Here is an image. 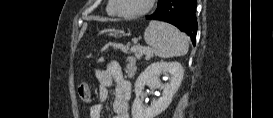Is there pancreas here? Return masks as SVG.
Returning <instances> with one entry per match:
<instances>
[{"label":"pancreas","instance_id":"1","mask_svg":"<svg viewBox=\"0 0 273 118\" xmlns=\"http://www.w3.org/2000/svg\"><path fill=\"white\" fill-rule=\"evenodd\" d=\"M141 49H143V47L135 46V47L131 48L130 52L126 51V53H128V54L131 52L134 53V56H129L126 60L128 62V65H127L125 71H126L128 77H133L136 72V69H137L136 68V59H139L143 54V51Z\"/></svg>","mask_w":273,"mask_h":118}]
</instances>
